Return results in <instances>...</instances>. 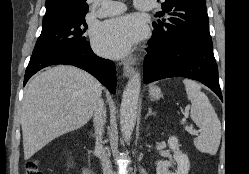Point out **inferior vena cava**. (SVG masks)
<instances>
[{
  "label": "inferior vena cava",
  "instance_id": "inferior-vena-cava-1",
  "mask_svg": "<svg viewBox=\"0 0 249 174\" xmlns=\"http://www.w3.org/2000/svg\"><path fill=\"white\" fill-rule=\"evenodd\" d=\"M105 117H106V110L104 107V102L102 99H99L95 105L94 113H93V123H94L95 134H96V149L100 152V159H101V163L103 167V174H113L111 162L101 144L102 135L104 132V124L106 121Z\"/></svg>",
  "mask_w": 249,
  "mask_h": 174
}]
</instances>
